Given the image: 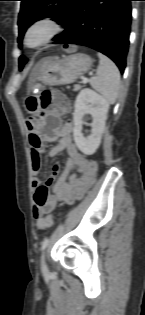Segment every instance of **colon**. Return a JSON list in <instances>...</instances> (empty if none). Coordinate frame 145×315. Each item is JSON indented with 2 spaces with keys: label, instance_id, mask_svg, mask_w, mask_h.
<instances>
[{
  "label": "colon",
  "instance_id": "colon-1",
  "mask_svg": "<svg viewBox=\"0 0 145 315\" xmlns=\"http://www.w3.org/2000/svg\"><path fill=\"white\" fill-rule=\"evenodd\" d=\"M65 51L70 52L74 48L70 45L64 46ZM40 105L42 111L57 110L66 111L69 108V103L64 94L59 91H45L40 97ZM53 216L45 215L38 221L40 229H47L53 224Z\"/></svg>",
  "mask_w": 145,
  "mask_h": 315
}]
</instances>
